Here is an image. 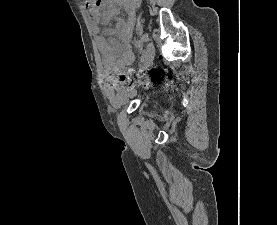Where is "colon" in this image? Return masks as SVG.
<instances>
[{"instance_id":"colon-1","label":"colon","mask_w":277,"mask_h":225,"mask_svg":"<svg viewBox=\"0 0 277 225\" xmlns=\"http://www.w3.org/2000/svg\"><path fill=\"white\" fill-rule=\"evenodd\" d=\"M143 77L145 76L134 71H129L127 69H121L117 74V80L124 88L133 87L138 82V80ZM146 81H148L147 77Z\"/></svg>"}]
</instances>
